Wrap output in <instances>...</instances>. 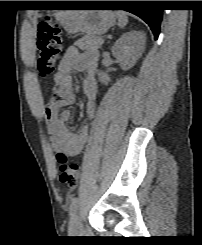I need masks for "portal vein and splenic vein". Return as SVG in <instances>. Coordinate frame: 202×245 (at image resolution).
Masks as SVG:
<instances>
[{"label":"portal vein and splenic vein","mask_w":202,"mask_h":245,"mask_svg":"<svg viewBox=\"0 0 202 245\" xmlns=\"http://www.w3.org/2000/svg\"><path fill=\"white\" fill-rule=\"evenodd\" d=\"M101 42H102V44L104 43V39L103 38H101Z\"/></svg>","instance_id":"obj_1"}]
</instances>
